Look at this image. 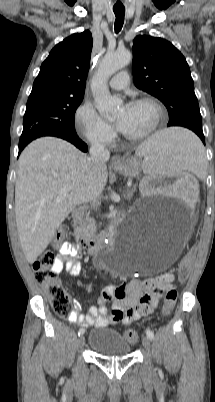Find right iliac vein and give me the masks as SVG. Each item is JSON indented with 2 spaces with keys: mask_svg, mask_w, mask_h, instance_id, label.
Segmentation results:
<instances>
[{
  "mask_svg": "<svg viewBox=\"0 0 215 402\" xmlns=\"http://www.w3.org/2000/svg\"><path fill=\"white\" fill-rule=\"evenodd\" d=\"M84 343H85V338L83 335H80L79 339H78V347H80V348L83 347Z\"/></svg>",
  "mask_w": 215,
  "mask_h": 402,
  "instance_id": "63e3f726",
  "label": "right iliac vein"
}]
</instances>
